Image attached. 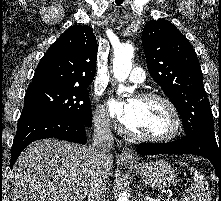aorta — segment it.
<instances>
[{"label": "aorta", "mask_w": 221, "mask_h": 201, "mask_svg": "<svg viewBox=\"0 0 221 201\" xmlns=\"http://www.w3.org/2000/svg\"><path fill=\"white\" fill-rule=\"evenodd\" d=\"M134 48L131 44H122L114 50L113 73L119 82H124L129 76L132 69V58ZM124 89L122 84L119 85L118 91ZM116 201H128L127 193H122Z\"/></svg>", "instance_id": "aorta-1"}]
</instances>
